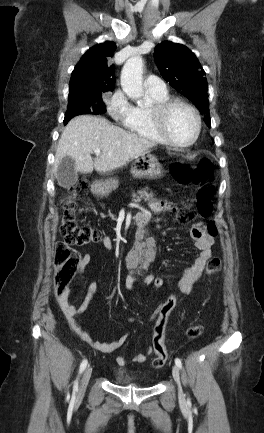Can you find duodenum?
I'll list each match as a JSON object with an SVG mask.
<instances>
[{
	"mask_svg": "<svg viewBox=\"0 0 264 433\" xmlns=\"http://www.w3.org/2000/svg\"><path fill=\"white\" fill-rule=\"evenodd\" d=\"M143 217L144 214L141 213L136 216V220H141ZM133 258H140L143 264H149L154 259V250L150 246L139 247Z\"/></svg>",
	"mask_w": 264,
	"mask_h": 433,
	"instance_id": "obj_1",
	"label": "duodenum"
}]
</instances>
